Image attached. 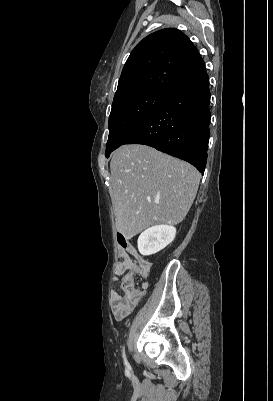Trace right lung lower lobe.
<instances>
[{
	"label": "right lung lower lobe",
	"instance_id": "1",
	"mask_svg": "<svg viewBox=\"0 0 273 401\" xmlns=\"http://www.w3.org/2000/svg\"><path fill=\"white\" fill-rule=\"evenodd\" d=\"M210 91L206 69L166 93L163 101L122 144H144L185 160L201 173L210 135Z\"/></svg>",
	"mask_w": 273,
	"mask_h": 401
}]
</instances>
